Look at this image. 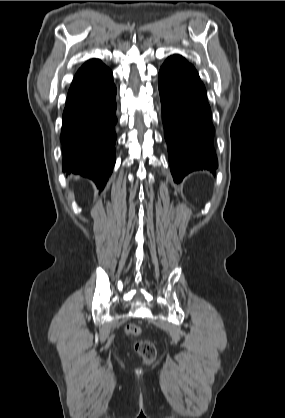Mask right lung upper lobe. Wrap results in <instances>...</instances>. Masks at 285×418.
<instances>
[{
  "label": "right lung upper lobe",
  "instance_id": "right-lung-upper-lobe-1",
  "mask_svg": "<svg viewBox=\"0 0 285 418\" xmlns=\"http://www.w3.org/2000/svg\"><path fill=\"white\" fill-rule=\"evenodd\" d=\"M108 68L99 60L91 59L87 61L76 73L69 91L89 82L103 73Z\"/></svg>",
  "mask_w": 285,
  "mask_h": 418
}]
</instances>
